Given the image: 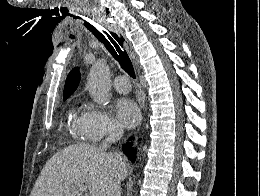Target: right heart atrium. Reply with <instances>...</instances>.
Masks as SVG:
<instances>
[{
  "label": "right heart atrium",
  "mask_w": 260,
  "mask_h": 196,
  "mask_svg": "<svg viewBox=\"0 0 260 196\" xmlns=\"http://www.w3.org/2000/svg\"><path fill=\"white\" fill-rule=\"evenodd\" d=\"M76 126L83 130H111L118 128L117 124L104 109L92 104L86 105L77 120ZM94 138L97 139L98 137Z\"/></svg>",
  "instance_id": "right-heart-atrium-1"
}]
</instances>
